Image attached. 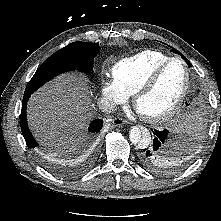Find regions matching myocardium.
Returning a JSON list of instances; mask_svg holds the SVG:
<instances>
[{
	"instance_id": "f54148a6",
	"label": "myocardium",
	"mask_w": 221,
	"mask_h": 221,
	"mask_svg": "<svg viewBox=\"0 0 221 221\" xmlns=\"http://www.w3.org/2000/svg\"><path fill=\"white\" fill-rule=\"evenodd\" d=\"M175 61H180L183 64L186 73L185 85L177 101L168 110L159 114L148 115L140 112L138 109L139 101L156 86V84L158 83L159 79L161 78L165 70ZM190 88H191V72L186 60L179 56L170 57L168 60L162 63L158 68H156L153 71V73L146 79V81L135 91V93L133 94V105L134 108L145 120L151 123L164 122L172 118L181 109V107L183 106L184 102L187 99V96L190 92Z\"/></svg>"
}]
</instances>
